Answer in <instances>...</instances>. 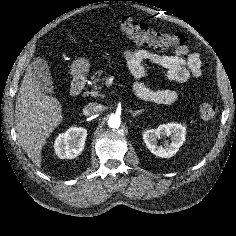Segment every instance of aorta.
I'll return each instance as SVG.
<instances>
[{
  "label": "aorta",
  "mask_w": 236,
  "mask_h": 236,
  "mask_svg": "<svg viewBox=\"0 0 236 236\" xmlns=\"http://www.w3.org/2000/svg\"><path fill=\"white\" fill-rule=\"evenodd\" d=\"M121 124L120 121V117L116 116V115H112L110 116L109 120H108V126L110 128H118Z\"/></svg>",
  "instance_id": "1"
}]
</instances>
